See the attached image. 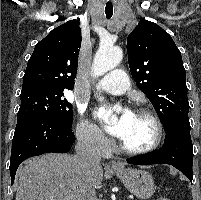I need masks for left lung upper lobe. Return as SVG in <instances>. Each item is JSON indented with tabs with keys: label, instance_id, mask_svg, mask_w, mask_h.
Returning <instances> with one entry per match:
<instances>
[{
	"label": "left lung upper lobe",
	"instance_id": "obj_1",
	"mask_svg": "<svg viewBox=\"0 0 201 200\" xmlns=\"http://www.w3.org/2000/svg\"><path fill=\"white\" fill-rule=\"evenodd\" d=\"M127 53L132 77L154 106L164 129L189 123L186 73L171 36L142 19L127 38Z\"/></svg>",
	"mask_w": 201,
	"mask_h": 200
}]
</instances>
